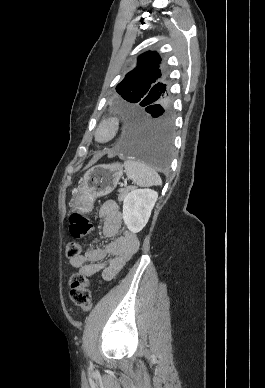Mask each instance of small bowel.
Here are the masks:
<instances>
[{
  "label": "small bowel",
  "instance_id": "c3829d8e",
  "mask_svg": "<svg viewBox=\"0 0 265 388\" xmlns=\"http://www.w3.org/2000/svg\"><path fill=\"white\" fill-rule=\"evenodd\" d=\"M99 217L103 219V235L113 240L100 247L88 248L78 257L71 259L69 265L79 269L80 274L86 277L100 274L103 280L109 281L137 252L139 240L129 231L118 236L123 224L120 207L115 201L104 202L99 209Z\"/></svg>",
  "mask_w": 265,
  "mask_h": 388
}]
</instances>
